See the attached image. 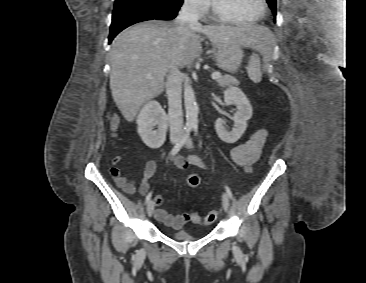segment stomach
Wrapping results in <instances>:
<instances>
[{"label":"stomach","mask_w":366,"mask_h":283,"mask_svg":"<svg viewBox=\"0 0 366 283\" xmlns=\"http://www.w3.org/2000/svg\"><path fill=\"white\" fill-rule=\"evenodd\" d=\"M215 55L219 68L230 73H235L241 63L243 51L239 43H221L215 47Z\"/></svg>","instance_id":"obj_1"}]
</instances>
